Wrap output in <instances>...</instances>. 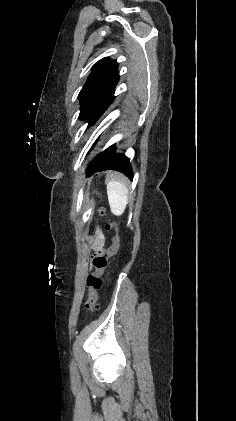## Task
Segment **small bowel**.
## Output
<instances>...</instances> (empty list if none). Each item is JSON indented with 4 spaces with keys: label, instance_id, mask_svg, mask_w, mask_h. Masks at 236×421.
Here are the masks:
<instances>
[{
    "label": "small bowel",
    "instance_id": "1",
    "mask_svg": "<svg viewBox=\"0 0 236 421\" xmlns=\"http://www.w3.org/2000/svg\"><path fill=\"white\" fill-rule=\"evenodd\" d=\"M97 235H98V241H97V244L95 246V249L99 250V249H101V247L103 245L104 237H103V234L101 233L100 230H97Z\"/></svg>",
    "mask_w": 236,
    "mask_h": 421
}]
</instances>
